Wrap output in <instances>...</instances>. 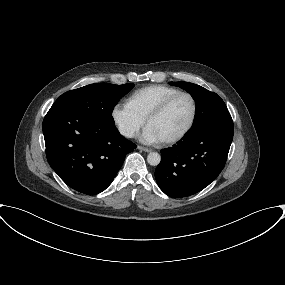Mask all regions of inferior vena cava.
Listing matches in <instances>:
<instances>
[{"mask_svg": "<svg viewBox=\"0 0 285 285\" xmlns=\"http://www.w3.org/2000/svg\"><path fill=\"white\" fill-rule=\"evenodd\" d=\"M123 134H124L126 137L132 138V137H134L135 132H134L133 130H126L125 132H123Z\"/></svg>", "mask_w": 285, "mask_h": 285, "instance_id": "inferior-vena-cava-1", "label": "inferior vena cava"}]
</instances>
